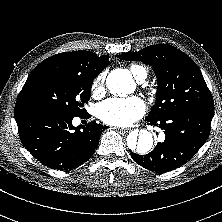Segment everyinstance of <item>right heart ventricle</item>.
<instances>
[{
  "instance_id": "1",
  "label": "right heart ventricle",
  "mask_w": 222,
  "mask_h": 222,
  "mask_svg": "<svg viewBox=\"0 0 222 222\" xmlns=\"http://www.w3.org/2000/svg\"><path fill=\"white\" fill-rule=\"evenodd\" d=\"M129 68H130L131 73L134 75V77H135L137 80H139V79L147 76V70H146V68H144V67L141 66V65L132 64V65H130Z\"/></svg>"
}]
</instances>
